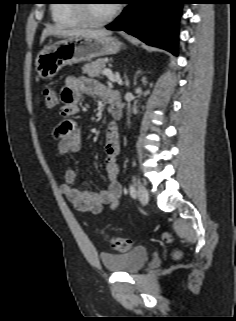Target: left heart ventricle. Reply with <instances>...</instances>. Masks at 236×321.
<instances>
[{"label": "left heart ventricle", "mask_w": 236, "mask_h": 321, "mask_svg": "<svg viewBox=\"0 0 236 321\" xmlns=\"http://www.w3.org/2000/svg\"><path fill=\"white\" fill-rule=\"evenodd\" d=\"M114 4L109 0H92L90 3V13L94 18L102 19L113 9Z\"/></svg>", "instance_id": "obj_1"}]
</instances>
